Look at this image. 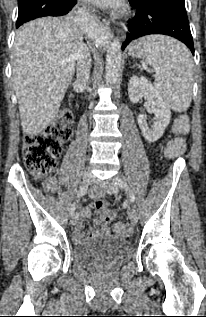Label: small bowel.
<instances>
[{
  "label": "small bowel",
  "mask_w": 206,
  "mask_h": 317,
  "mask_svg": "<svg viewBox=\"0 0 206 317\" xmlns=\"http://www.w3.org/2000/svg\"><path fill=\"white\" fill-rule=\"evenodd\" d=\"M46 186L52 190L57 189V182L54 178H50L46 182ZM102 194V192L98 189H95L91 192V197L96 198L99 197ZM82 214L86 217H90V212L88 209L83 210ZM111 228L107 225L103 226L100 232H94V231H88L86 234L83 233L82 227L80 223L77 224V226L74 229V238L76 240H82L84 238H93L97 236L98 234H108L110 233Z\"/></svg>",
  "instance_id": "small-bowel-1"
}]
</instances>
